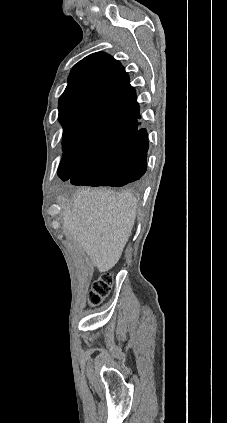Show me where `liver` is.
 Instances as JSON below:
<instances>
[{
    "label": "liver",
    "mask_w": 227,
    "mask_h": 423,
    "mask_svg": "<svg viewBox=\"0 0 227 423\" xmlns=\"http://www.w3.org/2000/svg\"><path fill=\"white\" fill-rule=\"evenodd\" d=\"M137 200L133 194L83 188L70 208L61 211L64 233L71 235L89 255L98 271L119 261L134 225Z\"/></svg>",
    "instance_id": "1"
}]
</instances>
